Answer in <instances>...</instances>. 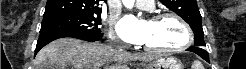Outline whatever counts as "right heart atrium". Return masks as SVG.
Returning <instances> with one entry per match:
<instances>
[{"mask_svg":"<svg viewBox=\"0 0 246 69\" xmlns=\"http://www.w3.org/2000/svg\"><path fill=\"white\" fill-rule=\"evenodd\" d=\"M109 36H110L111 39H116V37H117L116 33H115V31L113 29H110Z\"/></svg>","mask_w":246,"mask_h":69,"instance_id":"d8ad5b80","label":"right heart atrium"}]
</instances>
